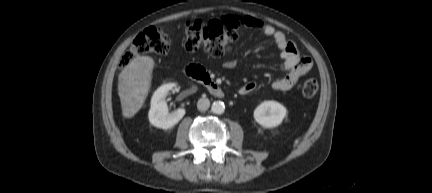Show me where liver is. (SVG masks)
I'll list each match as a JSON object with an SVG mask.
<instances>
[{
  "label": "liver",
  "instance_id": "6515ba94",
  "mask_svg": "<svg viewBox=\"0 0 432 193\" xmlns=\"http://www.w3.org/2000/svg\"><path fill=\"white\" fill-rule=\"evenodd\" d=\"M154 61L148 56L135 58L118 77L122 115L133 117L143 106L152 79Z\"/></svg>",
  "mask_w": 432,
  "mask_h": 193
}]
</instances>
